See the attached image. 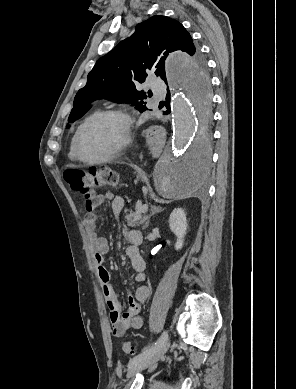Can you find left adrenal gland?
<instances>
[{
  "label": "left adrenal gland",
  "instance_id": "1",
  "mask_svg": "<svg viewBox=\"0 0 296 389\" xmlns=\"http://www.w3.org/2000/svg\"><path fill=\"white\" fill-rule=\"evenodd\" d=\"M163 209L160 207V206H152L151 207V213L149 216H147L146 218V222H145V225L143 227V230L146 229L148 227V224H149V219L151 218V216H153L154 214L156 213H159L161 212Z\"/></svg>",
  "mask_w": 296,
  "mask_h": 389
}]
</instances>
